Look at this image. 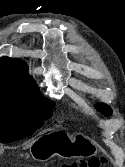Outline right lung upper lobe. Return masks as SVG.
<instances>
[{
  "label": "right lung upper lobe",
  "instance_id": "right-lung-upper-lobe-1",
  "mask_svg": "<svg viewBox=\"0 0 125 167\" xmlns=\"http://www.w3.org/2000/svg\"><path fill=\"white\" fill-rule=\"evenodd\" d=\"M0 95L15 98L40 95L24 61L9 57L0 58Z\"/></svg>",
  "mask_w": 125,
  "mask_h": 167
}]
</instances>
